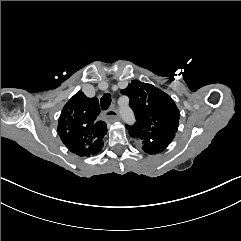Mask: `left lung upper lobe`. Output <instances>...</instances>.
Masks as SVG:
<instances>
[{
	"instance_id": "1",
	"label": "left lung upper lobe",
	"mask_w": 241,
	"mask_h": 241,
	"mask_svg": "<svg viewBox=\"0 0 241 241\" xmlns=\"http://www.w3.org/2000/svg\"><path fill=\"white\" fill-rule=\"evenodd\" d=\"M121 93L129 97L137 120L134 126H126L130 136L148 154L163 151L169 144L168 137L178 129L180 113L172 98L138 80H133Z\"/></svg>"
}]
</instances>
